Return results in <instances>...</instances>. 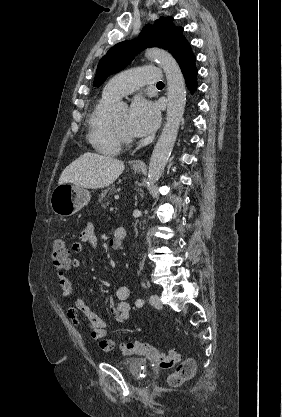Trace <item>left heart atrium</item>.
Here are the masks:
<instances>
[{
  "instance_id": "1",
  "label": "left heart atrium",
  "mask_w": 282,
  "mask_h": 417,
  "mask_svg": "<svg viewBox=\"0 0 282 417\" xmlns=\"http://www.w3.org/2000/svg\"><path fill=\"white\" fill-rule=\"evenodd\" d=\"M159 123L157 108L147 100L135 101L128 113L126 127L130 134L143 136L153 132Z\"/></svg>"
}]
</instances>
